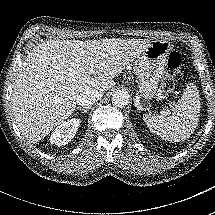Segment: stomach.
Segmentation results:
<instances>
[{"label":"stomach","mask_w":215,"mask_h":215,"mask_svg":"<svg viewBox=\"0 0 215 215\" xmlns=\"http://www.w3.org/2000/svg\"><path fill=\"white\" fill-rule=\"evenodd\" d=\"M172 52L173 46L168 40H154L138 54L133 71L142 102H151L156 97Z\"/></svg>","instance_id":"1"}]
</instances>
